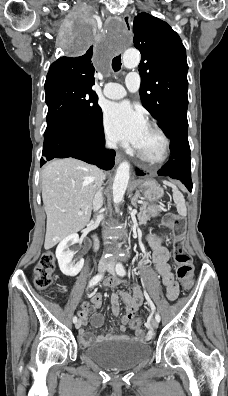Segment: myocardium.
Wrapping results in <instances>:
<instances>
[{"label": "myocardium", "instance_id": "f54148a6", "mask_svg": "<svg viewBox=\"0 0 228 396\" xmlns=\"http://www.w3.org/2000/svg\"><path fill=\"white\" fill-rule=\"evenodd\" d=\"M148 127L150 129H152L154 132H156L160 136V138L162 139V141H163L162 153L157 158H151V157H148V156L144 155L138 149H136V155L141 161H143V162H145L147 164H150V165L163 164L168 159V157L170 155V147H171L170 139L168 138L166 133L157 124L149 123Z\"/></svg>", "mask_w": 228, "mask_h": 396}]
</instances>
